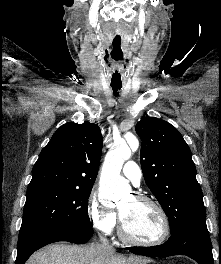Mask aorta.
I'll return each instance as SVG.
<instances>
[{"label": "aorta", "instance_id": "aorta-1", "mask_svg": "<svg viewBox=\"0 0 221 264\" xmlns=\"http://www.w3.org/2000/svg\"><path fill=\"white\" fill-rule=\"evenodd\" d=\"M138 147V139L132 136L129 144L121 140L113 150L107 153L99 182L102 200L117 204L123 194L129 190L128 181L120 175V172L124 161L131 157V149L137 150Z\"/></svg>", "mask_w": 221, "mask_h": 264}]
</instances>
